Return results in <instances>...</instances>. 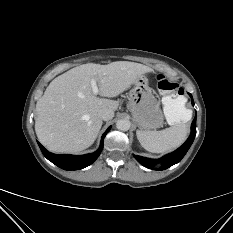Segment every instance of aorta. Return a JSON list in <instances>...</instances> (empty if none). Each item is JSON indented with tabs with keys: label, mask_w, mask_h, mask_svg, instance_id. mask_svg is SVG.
<instances>
[{
	"label": "aorta",
	"mask_w": 233,
	"mask_h": 233,
	"mask_svg": "<svg viewBox=\"0 0 233 233\" xmlns=\"http://www.w3.org/2000/svg\"><path fill=\"white\" fill-rule=\"evenodd\" d=\"M131 122L128 119H120L116 123V127L121 131H128L130 129Z\"/></svg>",
	"instance_id": "obj_1"
}]
</instances>
